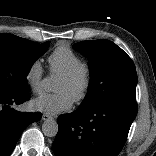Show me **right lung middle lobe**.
<instances>
[{
    "label": "right lung middle lobe",
    "instance_id": "1",
    "mask_svg": "<svg viewBox=\"0 0 156 156\" xmlns=\"http://www.w3.org/2000/svg\"><path fill=\"white\" fill-rule=\"evenodd\" d=\"M49 45V41L36 44L12 34H0V89L16 93L28 91L26 76Z\"/></svg>",
    "mask_w": 156,
    "mask_h": 156
}]
</instances>
